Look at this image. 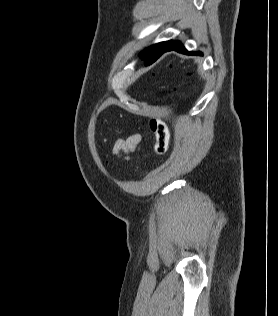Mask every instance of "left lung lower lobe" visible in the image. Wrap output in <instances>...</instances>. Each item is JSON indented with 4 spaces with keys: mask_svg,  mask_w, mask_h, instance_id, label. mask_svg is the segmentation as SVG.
I'll use <instances>...</instances> for the list:
<instances>
[{
    "mask_svg": "<svg viewBox=\"0 0 278 316\" xmlns=\"http://www.w3.org/2000/svg\"><path fill=\"white\" fill-rule=\"evenodd\" d=\"M168 51H177L179 53H184V54H188V55H202L201 52H188L180 41H171L168 44V46L164 49L162 54L164 52H168Z\"/></svg>",
    "mask_w": 278,
    "mask_h": 316,
    "instance_id": "left-lung-lower-lobe-1",
    "label": "left lung lower lobe"
}]
</instances>
